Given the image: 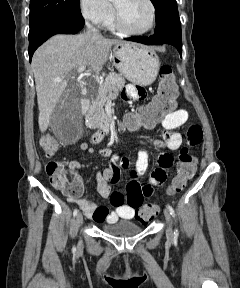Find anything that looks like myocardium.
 <instances>
[{
	"label": "myocardium",
	"instance_id": "f54148a6",
	"mask_svg": "<svg viewBox=\"0 0 240 288\" xmlns=\"http://www.w3.org/2000/svg\"><path fill=\"white\" fill-rule=\"evenodd\" d=\"M147 3L149 4L150 8H151V13H152V18H151V24L150 26L145 29V30H142V31H134V30H131L125 23L120 11L118 10L117 7H115V24L117 26V28L126 33V34H129V35H135V36H140V35H145L149 32H151L155 25H156V17H157V14H156V6L154 4V2L152 0H146Z\"/></svg>",
	"mask_w": 240,
	"mask_h": 288
}]
</instances>
